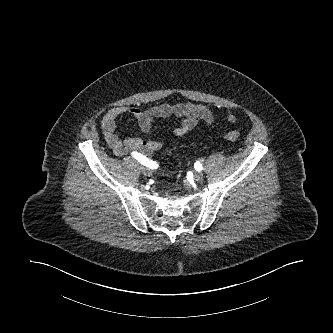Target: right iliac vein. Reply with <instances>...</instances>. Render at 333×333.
<instances>
[{
  "label": "right iliac vein",
  "instance_id": "63e3f726",
  "mask_svg": "<svg viewBox=\"0 0 333 333\" xmlns=\"http://www.w3.org/2000/svg\"><path fill=\"white\" fill-rule=\"evenodd\" d=\"M141 169H142V173H143L144 175H146V176H151L152 171L150 170V168H148V167H142Z\"/></svg>",
  "mask_w": 333,
  "mask_h": 333
}]
</instances>
